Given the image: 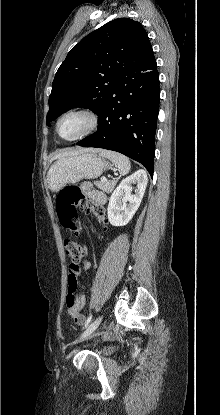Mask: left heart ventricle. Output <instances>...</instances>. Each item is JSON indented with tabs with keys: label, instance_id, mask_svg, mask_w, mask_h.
Returning a JSON list of instances; mask_svg holds the SVG:
<instances>
[{
	"label": "left heart ventricle",
	"instance_id": "obj_1",
	"mask_svg": "<svg viewBox=\"0 0 220 415\" xmlns=\"http://www.w3.org/2000/svg\"><path fill=\"white\" fill-rule=\"evenodd\" d=\"M88 126V120L82 115H69L59 124V134L63 138H72L83 132Z\"/></svg>",
	"mask_w": 220,
	"mask_h": 415
}]
</instances>
